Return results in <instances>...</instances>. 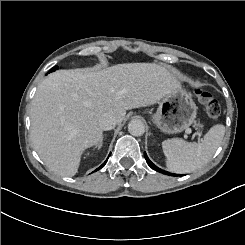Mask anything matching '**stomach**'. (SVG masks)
<instances>
[{
  "instance_id": "1",
  "label": "stomach",
  "mask_w": 245,
  "mask_h": 245,
  "mask_svg": "<svg viewBox=\"0 0 245 245\" xmlns=\"http://www.w3.org/2000/svg\"><path fill=\"white\" fill-rule=\"evenodd\" d=\"M196 115L197 106L191 94L180 87L162 99L152 121L162 132L173 134L192 125Z\"/></svg>"
}]
</instances>
